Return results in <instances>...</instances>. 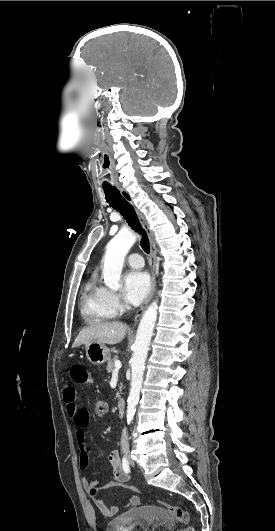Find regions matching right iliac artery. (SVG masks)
I'll return each instance as SVG.
<instances>
[{
	"mask_svg": "<svg viewBox=\"0 0 275 531\" xmlns=\"http://www.w3.org/2000/svg\"><path fill=\"white\" fill-rule=\"evenodd\" d=\"M122 466H123V470L125 471V473L130 472V464L125 456L122 459Z\"/></svg>",
	"mask_w": 275,
	"mask_h": 531,
	"instance_id": "82829eb1",
	"label": "right iliac artery"
}]
</instances>
